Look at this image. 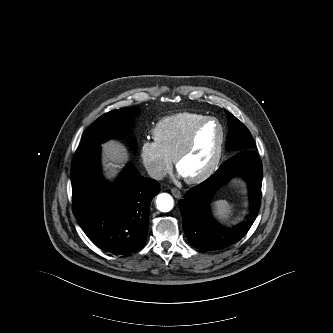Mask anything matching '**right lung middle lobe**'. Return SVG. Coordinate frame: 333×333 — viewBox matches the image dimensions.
I'll list each match as a JSON object with an SVG mask.
<instances>
[{"mask_svg": "<svg viewBox=\"0 0 333 333\" xmlns=\"http://www.w3.org/2000/svg\"><path fill=\"white\" fill-rule=\"evenodd\" d=\"M139 114L138 107L110 111L98 118L87 130L81 146L88 147L123 134L133 126V119Z\"/></svg>", "mask_w": 333, "mask_h": 333, "instance_id": "1", "label": "right lung middle lobe"}]
</instances>
